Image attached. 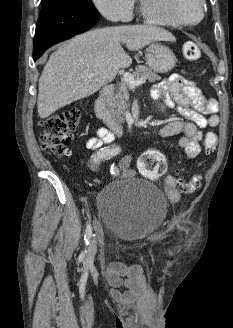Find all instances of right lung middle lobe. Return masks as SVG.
Masks as SVG:
<instances>
[{
    "label": "right lung middle lobe",
    "mask_w": 233,
    "mask_h": 328,
    "mask_svg": "<svg viewBox=\"0 0 233 328\" xmlns=\"http://www.w3.org/2000/svg\"><path fill=\"white\" fill-rule=\"evenodd\" d=\"M44 4L76 6L96 9L90 0H42V5Z\"/></svg>",
    "instance_id": "1"
}]
</instances>
